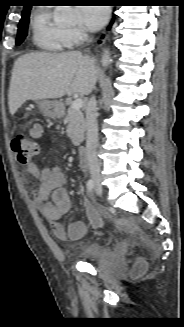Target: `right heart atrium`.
Returning <instances> with one entry per match:
<instances>
[{"instance_id": "obj_1", "label": "right heart atrium", "mask_w": 184, "mask_h": 327, "mask_svg": "<svg viewBox=\"0 0 184 327\" xmlns=\"http://www.w3.org/2000/svg\"><path fill=\"white\" fill-rule=\"evenodd\" d=\"M68 38H69L70 46H78L86 38V33L81 28H77V27L70 28L68 29Z\"/></svg>"}]
</instances>
